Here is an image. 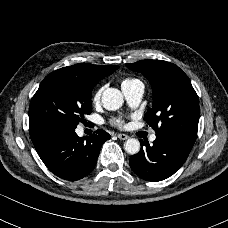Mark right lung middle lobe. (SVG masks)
<instances>
[{
  "instance_id": "dd1d6c3e",
  "label": "right lung middle lobe",
  "mask_w": 228,
  "mask_h": 228,
  "mask_svg": "<svg viewBox=\"0 0 228 228\" xmlns=\"http://www.w3.org/2000/svg\"><path fill=\"white\" fill-rule=\"evenodd\" d=\"M83 76L54 71L41 82L29 108L30 131L50 126L76 127L92 112L91 92L95 86Z\"/></svg>"
}]
</instances>
